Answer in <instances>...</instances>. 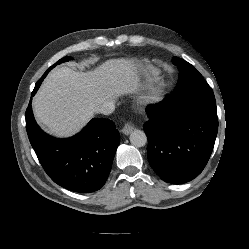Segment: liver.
Returning <instances> with one entry per match:
<instances>
[{
  "label": "liver",
  "mask_w": 249,
  "mask_h": 249,
  "mask_svg": "<svg viewBox=\"0 0 249 249\" xmlns=\"http://www.w3.org/2000/svg\"><path fill=\"white\" fill-rule=\"evenodd\" d=\"M139 76L134 61L108 60L94 70L61 67L43 82L32 106L39 123L57 137L77 133L106 101L135 91Z\"/></svg>",
  "instance_id": "liver-1"
}]
</instances>
